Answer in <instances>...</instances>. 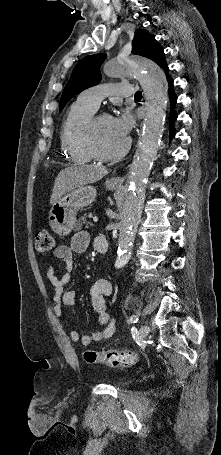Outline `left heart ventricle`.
<instances>
[{
  "instance_id": "left-heart-ventricle-1",
  "label": "left heart ventricle",
  "mask_w": 221,
  "mask_h": 455,
  "mask_svg": "<svg viewBox=\"0 0 221 455\" xmlns=\"http://www.w3.org/2000/svg\"><path fill=\"white\" fill-rule=\"evenodd\" d=\"M126 141L114 125L112 117L101 116L96 123L95 145L99 152L110 154L119 150Z\"/></svg>"
}]
</instances>
